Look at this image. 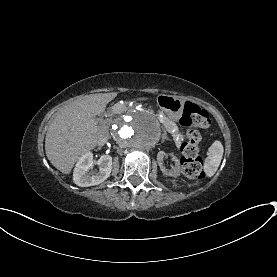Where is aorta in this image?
<instances>
[{
    "label": "aorta",
    "mask_w": 277,
    "mask_h": 277,
    "mask_svg": "<svg viewBox=\"0 0 277 277\" xmlns=\"http://www.w3.org/2000/svg\"><path fill=\"white\" fill-rule=\"evenodd\" d=\"M111 135L122 148L149 150L159 140L161 126L152 114L134 110L114 122Z\"/></svg>",
    "instance_id": "obj_1"
}]
</instances>
